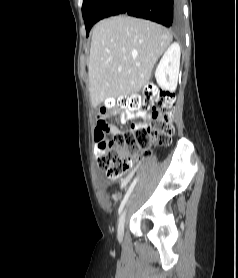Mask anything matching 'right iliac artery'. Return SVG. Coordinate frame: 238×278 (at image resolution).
Segmentation results:
<instances>
[{"instance_id": "82829eb1", "label": "right iliac artery", "mask_w": 238, "mask_h": 278, "mask_svg": "<svg viewBox=\"0 0 238 278\" xmlns=\"http://www.w3.org/2000/svg\"><path fill=\"white\" fill-rule=\"evenodd\" d=\"M137 181H138V177H136V178L133 180V182L131 183V185L129 186V188H128V190H127V192H126V194H125V196H124V198H123V200H122V202H121V204H120V207H119V210H118V213H119V214L122 212L123 207H124L125 203L127 202V200H128V198H129L131 192L133 191V189H134V187H135Z\"/></svg>"}]
</instances>
